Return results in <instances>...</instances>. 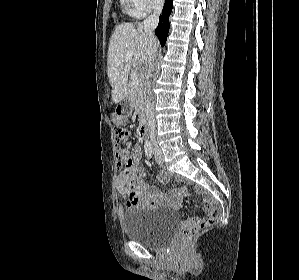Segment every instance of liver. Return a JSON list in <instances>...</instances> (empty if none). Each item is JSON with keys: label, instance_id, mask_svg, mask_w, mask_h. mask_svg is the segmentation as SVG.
<instances>
[{"label": "liver", "instance_id": "obj_1", "mask_svg": "<svg viewBox=\"0 0 299 280\" xmlns=\"http://www.w3.org/2000/svg\"><path fill=\"white\" fill-rule=\"evenodd\" d=\"M153 43L157 46L154 37ZM149 34L141 23H122L118 25L110 39L108 50V77L112 86V101L120 103L128 94V75L132 66L148 64L151 48ZM133 51V58L126 59V54Z\"/></svg>", "mask_w": 299, "mask_h": 280}]
</instances>
